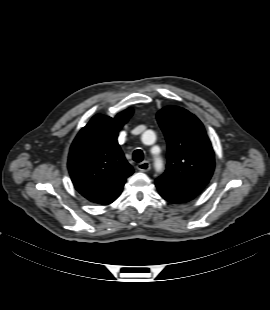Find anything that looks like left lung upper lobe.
Wrapping results in <instances>:
<instances>
[{"label": "left lung upper lobe", "mask_w": 270, "mask_h": 310, "mask_svg": "<svg viewBox=\"0 0 270 310\" xmlns=\"http://www.w3.org/2000/svg\"><path fill=\"white\" fill-rule=\"evenodd\" d=\"M167 140V167L158 181L203 190L214 171V151L200 120L187 110L168 106L157 113Z\"/></svg>", "instance_id": "5c2ea615"}]
</instances>
